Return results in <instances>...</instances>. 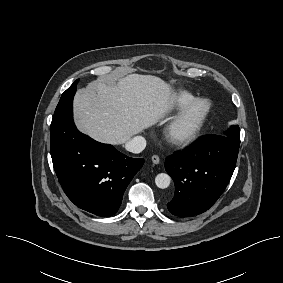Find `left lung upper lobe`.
<instances>
[{"label":"left lung upper lobe","mask_w":283,"mask_h":283,"mask_svg":"<svg viewBox=\"0 0 283 283\" xmlns=\"http://www.w3.org/2000/svg\"><path fill=\"white\" fill-rule=\"evenodd\" d=\"M225 136L234 139L236 141H240V129L239 126L233 125L226 132Z\"/></svg>","instance_id":"obj_1"}]
</instances>
